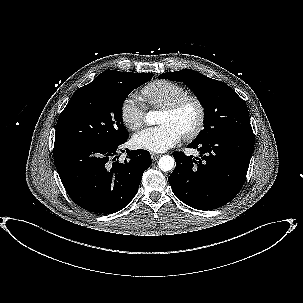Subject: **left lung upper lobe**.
<instances>
[{
  "label": "left lung upper lobe",
  "instance_id": "5c2ea615",
  "mask_svg": "<svg viewBox=\"0 0 303 303\" xmlns=\"http://www.w3.org/2000/svg\"><path fill=\"white\" fill-rule=\"evenodd\" d=\"M159 79L183 82L204 107V129L194 142L230 134L253 135L245 101L224 82L189 69L164 73Z\"/></svg>",
  "mask_w": 303,
  "mask_h": 303
}]
</instances>
